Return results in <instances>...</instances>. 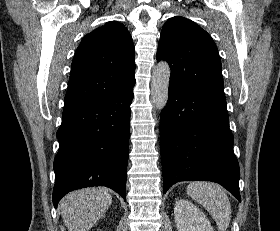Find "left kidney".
Listing matches in <instances>:
<instances>
[{
  "instance_id": "5707ae66",
  "label": "left kidney",
  "mask_w": 280,
  "mask_h": 231,
  "mask_svg": "<svg viewBox=\"0 0 280 231\" xmlns=\"http://www.w3.org/2000/svg\"><path fill=\"white\" fill-rule=\"evenodd\" d=\"M174 215L178 231H213V227L203 211H200L199 207L187 199H177Z\"/></svg>"
}]
</instances>
